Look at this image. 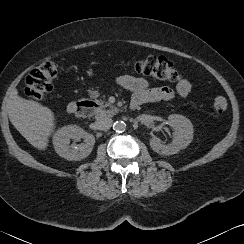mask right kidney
<instances>
[{
    "mask_svg": "<svg viewBox=\"0 0 244 244\" xmlns=\"http://www.w3.org/2000/svg\"><path fill=\"white\" fill-rule=\"evenodd\" d=\"M80 139H83L84 143L72 144L71 148L69 147L71 140L76 142ZM52 143L60 157L70 161H78L90 155L95 144V137L77 125H67L56 131Z\"/></svg>",
    "mask_w": 244,
    "mask_h": 244,
    "instance_id": "ca27d5eb",
    "label": "right kidney"
}]
</instances>
